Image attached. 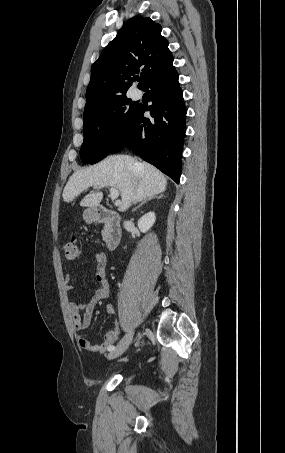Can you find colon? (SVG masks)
Returning <instances> with one entry per match:
<instances>
[{
	"instance_id": "obj_1",
	"label": "colon",
	"mask_w": 285,
	"mask_h": 453,
	"mask_svg": "<svg viewBox=\"0 0 285 453\" xmlns=\"http://www.w3.org/2000/svg\"><path fill=\"white\" fill-rule=\"evenodd\" d=\"M81 252V244L75 236H72L65 242L64 253L67 259H76L80 256Z\"/></svg>"
}]
</instances>
